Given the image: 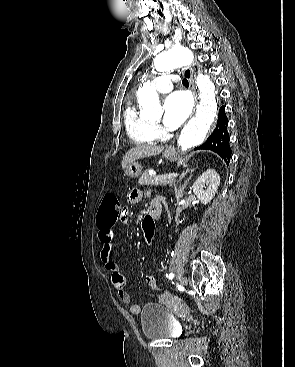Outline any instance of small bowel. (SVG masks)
Segmentation results:
<instances>
[{
    "instance_id": "obj_1",
    "label": "small bowel",
    "mask_w": 295,
    "mask_h": 367,
    "mask_svg": "<svg viewBox=\"0 0 295 367\" xmlns=\"http://www.w3.org/2000/svg\"><path fill=\"white\" fill-rule=\"evenodd\" d=\"M141 193L137 189H132L128 194V201L130 203H136L140 200ZM130 214L129 208H122L121 209V216L119 217L120 223H128ZM97 226L99 229L98 237L101 243V261L105 267V269L111 274V283L114 286L117 295L120 299V301L124 304H130L131 302V296L125 289V278L120 272L119 266L114 260L113 256V239L115 235V230L113 228V224L104 225L99 224L97 222ZM148 282L152 285L155 284V280L153 276H148L147 278ZM130 311L132 313H139L140 312V306L136 304L130 305Z\"/></svg>"
}]
</instances>
